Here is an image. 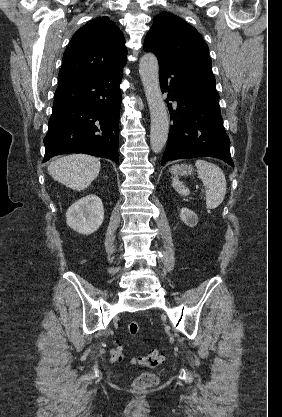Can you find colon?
<instances>
[{"label":"colon","mask_w":282,"mask_h":417,"mask_svg":"<svg viewBox=\"0 0 282 417\" xmlns=\"http://www.w3.org/2000/svg\"><path fill=\"white\" fill-rule=\"evenodd\" d=\"M128 330L131 336H137L140 332V325L138 322L128 323ZM125 345L121 341H116L114 347L110 351L111 361L115 364H120L124 359ZM152 352L146 353L141 357L138 362L141 366L146 368H156L162 362V356L159 354V348L153 347ZM158 376L154 373H144L139 375L134 380V385L137 387L138 392H143L144 388H149L157 383Z\"/></svg>","instance_id":"5ec220e1"}]
</instances>
